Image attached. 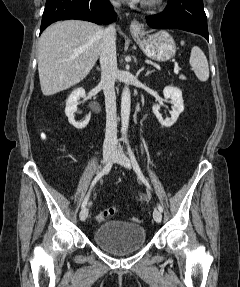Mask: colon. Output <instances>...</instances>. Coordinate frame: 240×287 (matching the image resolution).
<instances>
[{
    "label": "colon",
    "instance_id": "5ec220e1",
    "mask_svg": "<svg viewBox=\"0 0 240 287\" xmlns=\"http://www.w3.org/2000/svg\"><path fill=\"white\" fill-rule=\"evenodd\" d=\"M115 211L116 209L113 206L106 208L104 211H102L96 216V221L98 223L105 221L107 218L112 216L115 213Z\"/></svg>",
    "mask_w": 240,
    "mask_h": 287
}]
</instances>
